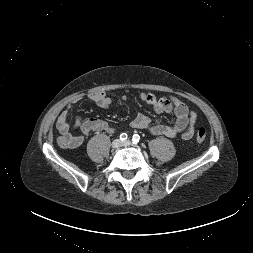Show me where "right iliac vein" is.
<instances>
[{"mask_svg":"<svg viewBox=\"0 0 253 253\" xmlns=\"http://www.w3.org/2000/svg\"><path fill=\"white\" fill-rule=\"evenodd\" d=\"M121 143L122 142L119 139H115V140H113L111 146H112V148L116 149V148H119L121 146Z\"/></svg>","mask_w":253,"mask_h":253,"instance_id":"63e3f726","label":"right iliac vein"}]
</instances>
